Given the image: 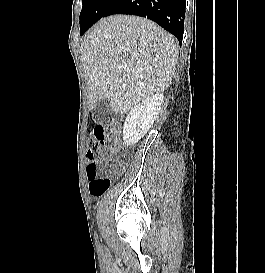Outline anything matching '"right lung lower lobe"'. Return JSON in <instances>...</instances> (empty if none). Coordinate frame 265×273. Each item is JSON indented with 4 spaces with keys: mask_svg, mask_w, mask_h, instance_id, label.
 <instances>
[{
    "mask_svg": "<svg viewBox=\"0 0 265 273\" xmlns=\"http://www.w3.org/2000/svg\"><path fill=\"white\" fill-rule=\"evenodd\" d=\"M185 0H115L104 17L127 14L146 17L172 33L182 43Z\"/></svg>",
    "mask_w": 265,
    "mask_h": 273,
    "instance_id": "1",
    "label": "right lung lower lobe"
}]
</instances>
